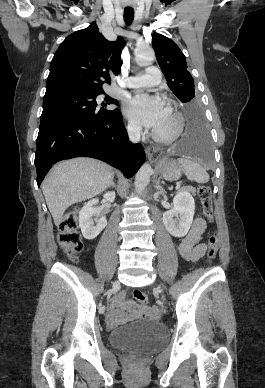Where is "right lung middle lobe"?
Returning a JSON list of instances; mask_svg holds the SVG:
<instances>
[{
    "mask_svg": "<svg viewBox=\"0 0 265 388\" xmlns=\"http://www.w3.org/2000/svg\"><path fill=\"white\" fill-rule=\"evenodd\" d=\"M102 92H67L44 97L41 123L64 117L108 119L119 113L118 109L108 110L107 104H117L118 101L106 97L99 104L96 97Z\"/></svg>",
    "mask_w": 265,
    "mask_h": 388,
    "instance_id": "dd1d6c3e",
    "label": "right lung middle lobe"
}]
</instances>
